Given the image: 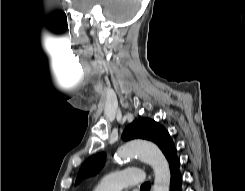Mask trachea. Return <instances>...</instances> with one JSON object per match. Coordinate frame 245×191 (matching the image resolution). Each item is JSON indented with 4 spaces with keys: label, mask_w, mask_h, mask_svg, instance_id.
<instances>
[{
    "label": "trachea",
    "mask_w": 245,
    "mask_h": 191,
    "mask_svg": "<svg viewBox=\"0 0 245 191\" xmlns=\"http://www.w3.org/2000/svg\"><path fill=\"white\" fill-rule=\"evenodd\" d=\"M149 188H150V184H149L148 182L144 183V184L140 187L141 190H147V189H149Z\"/></svg>",
    "instance_id": "1"
}]
</instances>
